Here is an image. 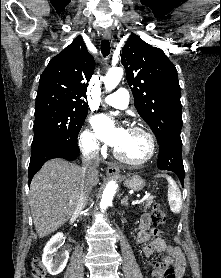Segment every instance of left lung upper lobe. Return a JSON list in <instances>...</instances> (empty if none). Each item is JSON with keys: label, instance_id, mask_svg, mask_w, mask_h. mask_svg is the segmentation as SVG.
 Listing matches in <instances>:
<instances>
[{"label": "left lung upper lobe", "instance_id": "1", "mask_svg": "<svg viewBox=\"0 0 221 278\" xmlns=\"http://www.w3.org/2000/svg\"><path fill=\"white\" fill-rule=\"evenodd\" d=\"M121 59L137 112L157 141L181 139L180 86L174 64L161 49L135 34L126 42Z\"/></svg>", "mask_w": 221, "mask_h": 278}]
</instances>
